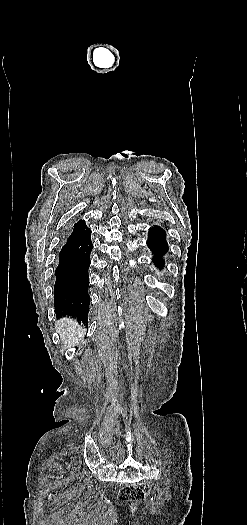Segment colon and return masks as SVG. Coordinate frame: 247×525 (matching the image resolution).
Returning a JSON list of instances; mask_svg holds the SVG:
<instances>
[{"instance_id":"obj_1","label":"colon","mask_w":247,"mask_h":525,"mask_svg":"<svg viewBox=\"0 0 247 525\" xmlns=\"http://www.w3.org/2000/svg\"><path fill=\"white\" fill-rule=\"evenodd\" d=\"M150 492V485L141 482L137 486L123 487L118 494V499L123 502L141 501L147 497Z\"/></svg>"}]
</instances>
